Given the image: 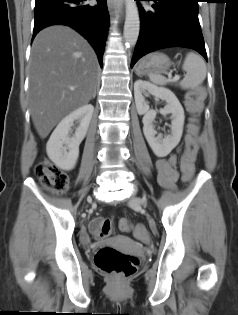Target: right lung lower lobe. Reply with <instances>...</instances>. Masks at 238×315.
I'll list each match as a JSON object with an SVG mask.
<instances>
[{"mask_svg": "<svg viewBox=\"0 0 238 315\" xmlns=\"http://www.w3.org/2000/svg\"><path fill=\"white\" fill-rule=\"evenodd\" d=\"M84 1L86 0H36L32 39L47 26L68 25L89 41L102 66L109 25L106 0H97L98 4L95 6L86 5Z\"/></svg>", "mask_w": 238, "mask_h": 315, "instance_id": "1", "label": "right lung lower lobe"}]
</instances>
